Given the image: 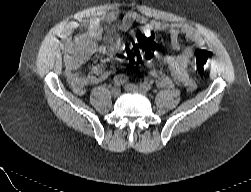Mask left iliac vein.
I'll return each mask as SVG.
<instances>
[{"label": "left iliac vein", "instance_id": "obj_1", "mask_svg": "<svg viewBox=\"0 0 251 192\" xmlns=\"http://www.w3.org/2000/svg\"><path fill=\"white\" fill-rule=\"evenodd\" d=\"M124 88L128 92H138L143 95L147 94V91L145 89H143L141 86H138L135 84L127 83V84H125Z\"/></svg>", "mask_w": 251, "mask_h": 192}]
</instances>
